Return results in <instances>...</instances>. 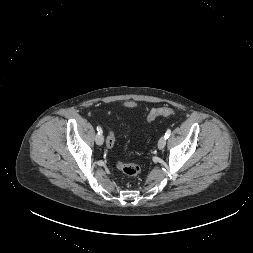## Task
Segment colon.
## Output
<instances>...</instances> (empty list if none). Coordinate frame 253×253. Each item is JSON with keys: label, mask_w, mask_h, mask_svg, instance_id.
<instances>
[{"label": "colon", "mask_w": 253, "mask_h": 253, "mask_svg": "<svg viewBox=\"0 0 253 253\" xmlns=\"http://www.w3.org/2000/svg\"><path fill=\"white\" fill-rule=\"evenodd\" d=\"M174 114L175 111L168 107L154 108L150 111L148 115V121L152 122L159 116H172ZM106 144L109 148H112L115 145V135L113 132H110L107 135ZM117 167L120 171H122L125 175H127L130 178H136L141 172V168L138 165L132 163H125L122 161H118Z\"/></svg>", "instance_id": "colon-1"}]
</instances>
